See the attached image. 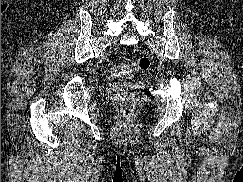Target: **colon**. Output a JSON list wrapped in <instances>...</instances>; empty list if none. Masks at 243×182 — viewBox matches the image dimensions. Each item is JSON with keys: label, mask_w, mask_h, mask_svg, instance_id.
<instances>
[{"label": "colon", "mask_w": 243, "mask_h": 182, "mask_svg": "<svg viewBox=\"0 0 243 182\" xmlns=\"http://www.w3.org/2000/svg\"><path fill=\"white\" fill-rule=\"evenodd\" d=\"M151 61L148 57H141L133 63L119 62L113 65L109 72L111 77L116 79L131 77L137 71H146L150 68ZM137 96L132 92L121 93V111L124 117L130 118L133 115Z\"/></svg>", "instance_id": "colon-1"}]
</instances>
